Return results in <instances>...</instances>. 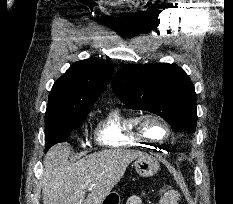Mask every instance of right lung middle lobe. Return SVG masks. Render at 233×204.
<instances>
[{
	"label": "right lung middle lobe",
	"mask_w": 233,
	"mask_h": 204,
	"mask_svg": "<svg viewBox=\"0 0 233 204\" xmlns=\"http://www.w3.org/2000/svg\"><path fill=\"white\" fill-rule=\"evenodd\" d=\"M88 111L46 122V148L47 151L54 144L63 142L70 135L73 128H78L85 120Z\"/></svg>",
	"instance_id": "obj_1"
}]
</instances>
